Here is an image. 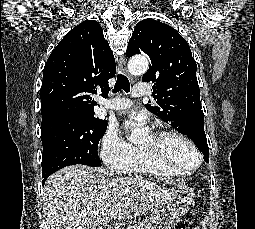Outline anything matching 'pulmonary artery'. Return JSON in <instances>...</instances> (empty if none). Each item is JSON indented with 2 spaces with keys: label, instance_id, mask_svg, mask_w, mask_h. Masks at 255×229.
Wrapping results in <instances>:
<instances>
[{
  "label": "pulmonary artery",
  "instance_id": "1",
  "mask_svg": "<svg viewBox=\"0 0 255 229\" xmlns=\"http://www.w3.org/2000/svg\"><path fill=\"white\" fill-rule=\"evenodd\" d=\"M149 95V89L146 84H135L132 90L133 97H143ZM132 102L128 98L115 97L105 103V108L112 110H124L129 108Z\"/></svg>",
  "mask_w": 255,
  "mask_h": 229
}]
</instances>
